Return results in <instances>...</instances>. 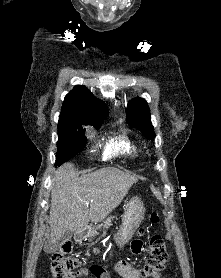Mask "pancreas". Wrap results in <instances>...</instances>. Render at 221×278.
Instances as JSON below:
<instances>
[{"mask_svg": "<svg viewBox=\"0 0 221 278\" xmlns=\"http://www.w3.org/2000/svg\"><path fill=\"white\" fill-rule=\"evenodd\" d=\"M113 218H114V216L108 217L107 220L105 221V223H104L103 225H104L105 227H106L107 225H110L111 222H112V220H113Z\"/></svg>", "mask_w": 221, "mask_h": 278, "instance_id": "cf45deb5", "label": "pancreas"}]
</instances>
